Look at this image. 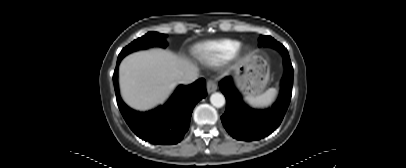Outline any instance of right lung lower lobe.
Segmentation results:
<instances>
[{"mask_svg":"<svg viewBox=\"0 0 406 168\" xmlns=\"http://www.w3.org/2000/svg\"><path fill=\"white\" fill-rule=\"evenodd\" d=\"M113 74L117 104L131 130L141 139L152 144H176L189 129L196 103L207 95L206 82L199 79L190 85H179L167 102L155 109L140 112L127 106L120 97L118 65Z\"/></svg>","mask_w":406,"mask_h":168,"instance_id":"right-lung-lower-lobe-1","label":"right lung lower lobe"}]
</instances>
